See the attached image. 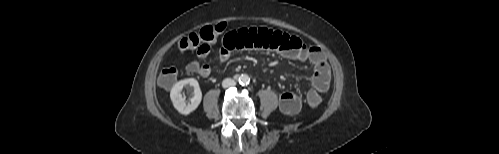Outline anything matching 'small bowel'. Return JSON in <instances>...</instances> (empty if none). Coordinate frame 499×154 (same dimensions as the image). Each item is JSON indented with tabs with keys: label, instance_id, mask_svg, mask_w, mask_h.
<instances>
[{
	"label": "small bowel",
	"instance_id": "1",
	"mask_svg": "<svg viewBox=\"0 0 499 154\" xmlns=\"http://www.w3.org/2000/svg\"><path fill=\"white\" fill-rule=\"evenodd\" d=\"M262 49L275 51L283 57L313 65L312 87L318 93L329 89L331 70L323 51L316 46H306L298 37L268 28H240L226 33L222 38L219 60L226 62L236 50ZM211 51L210 43L201 44L196 54L205 58ZM189 73L209 77L211 68L208 64L192 61L186 66ZM302 103L298 95L285 91L279 96V107L287 115H294L301 109Z\"/></svg>",
	"mask_w": 499,
	"mask_h": 154
}]
</instances>
